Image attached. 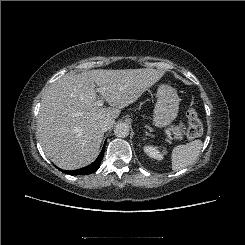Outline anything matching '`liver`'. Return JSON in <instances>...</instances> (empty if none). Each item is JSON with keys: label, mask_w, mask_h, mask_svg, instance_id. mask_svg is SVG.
Segmentation results:
<instances>
[{"label": "liver", "mask_w": 245, "mask_h": 245, "mask_svg": "<svg viewBox=\"0 0 245 245\" xmlns=\"http://www.w3.org/2000/svg\"><path fill=\"white\" fill-rule=\"evenodd\" d=\"M163 75L152 68L97 69L59 78L45 91L38 115V138L46 156L65 170L92 163L104 136L100 121L118 118L120 109L136 102ZM95 85L105 89L112 107L94 106Z\"/></svg>", "instance_id": "obj_1"}]
</instances>
